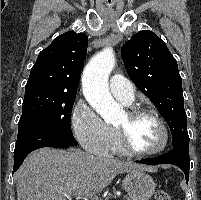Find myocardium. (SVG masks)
I'll list each match as a JSON object with an SVG mask.
<instances>
[{
	"label": "myocardium",
	"instance_id": "myocardium-1",
	"mask_svg": "<svg viewBox=\"0 0 201 200\" xmlns=\"http://www.w3.org/2000/svg\"><path fill=\"white\" fill-rule=\"evenodd\" d=\"M127 115L131 122L136 121L137 119L144 116L154 119L162 131L163 139H162V143L157 148L152 150H147V151H140L135 149L133 145L131 144L128 137L127 129L122 127H116V132L118 134L120 146L125 153L133 155V156H138V157H146V156H154V155L160 154L166 150L169 144L170 134H169V130L166 123L160 117L159 114L147 108L132 107L130 110L127 111Z\"/></svg>",
	"mask_w": 201,
	"mask_h": 200
}]
</instances>
